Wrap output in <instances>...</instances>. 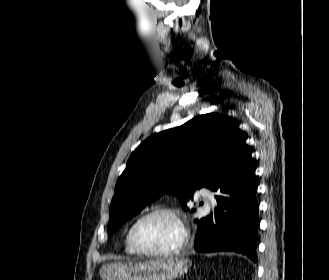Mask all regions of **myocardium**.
Listing matches in <instances>:
<instances>
[{"label":"myocardium","mask_w":329,"mask_h":280,"mask_svg":"<svg viewBox=\"0 0 329 280\" xmlns=\"http://www.w3.org/2000/svg\"><path fill=\"white\" fill-rule=\"evenodd\" d=\"M159 214L168 215L175 220L180 230V240L174 247L167 250L154 251V250L145 249L139 244L137 239L138 227L144 220ZM188 237H189V233L183 218L181 217L180 213L176 209L171 207H157L145 212L135 220V222L132 224L130 229V241L135 251L139 254L150 256V257H168L179 253L186 246Z\"/></svg>","instance_id":"obj_1"}]
</instances>
